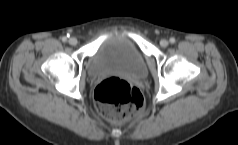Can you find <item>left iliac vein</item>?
I'll return each instance as SVG.
<instances>
[{
	"mask_svg": "<svg viewBox=\"0 0 238 145\" xmlns=\"http://www.w3.org/2000/svg\"><path fill=\"white\" fill-rule=\"evenodd\" d=\"M168 44H169V42H168V40H166V39H162V40L160 41V45H161L162 47H167Z\"/></svg>",
	"mask_w": 238,
	"mask_h": 145,
	"instance_id": "obj_1",
	"label": "left iliac vein"
}]
</instances>
